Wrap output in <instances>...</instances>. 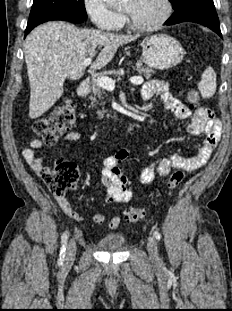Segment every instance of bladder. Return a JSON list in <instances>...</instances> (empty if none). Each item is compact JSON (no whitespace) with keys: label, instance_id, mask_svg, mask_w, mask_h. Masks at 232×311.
<instances>
[{"label":"bladder","instance_id":"bladder-1","mask_svg":"<svg viewBox=\"0 0 232 311\" xmlns=\"http://www.w3.org/2000/svg\"><path fill=\"white\" fill-rule=\"evenodd\" d=\"M126 244V238L123 234L112 233L101 237L98 245L105 251H121Z\"/></svg>","mask_w":232,"mask_h":311}]
</instances>
